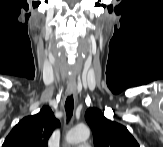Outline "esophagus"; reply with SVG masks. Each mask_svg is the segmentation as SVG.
Listing matches in <instances>:
<instances>
[{
    "mask_svg": "<svg viewBox=\"0 0 163 147\" xmlns=\"http://www.w3.org/2000/svg\"><path fill=\"white\" fill-rule=\"evenodd\" d=\"M67 93H68L69 95H74V97L77 96V93H76V85H75V83H72V82H71V83L68 84Z\"/></svg>",
    "mask_w": 163,
    "mask_h": 147,
    "instance_id": "34e87169",
    "label": "esophagus"
}]
</instances>
